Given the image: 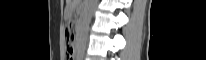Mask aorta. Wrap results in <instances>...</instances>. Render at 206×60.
I'll use <instances>...</instances> for the list:
<instances>
[{"mask_svg":"<svg viewBox=\"0 0 206 60\" xmlns=\"http://www.w3.org/2000/svg\"><path fill=\"white\" fill-rule=\"evenodd\" d=\"M95 4H96V0H86L83 19L81 23V30H80L81 49L84 45V41L87 36V32H88L89 24L91 22V17L95 8Z\"/></svg>","mask_w":206,"mask_h":60,"instance_id":"1","label":"aorta"}]
</instances>
